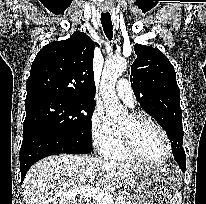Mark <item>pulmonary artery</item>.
Returning <instances> with one entry per match:
<instances>
[{
	"instance_id": "pulmonary-artery-1",
	"label": "pulmonary artery",
	"mask_w": 206,
	"mask_h": 204,
	"mask_svg": "<svg viewBox=\"0 0 206 204\" xmlns=\"http://www.w3.org/2000/svg\"><path fill=\"white\" fill-rule=\"evenodd\" d=\"M116 93L120 99L129 106H133V90L131 83L127 79H120L116 85Z\"/></svg>"
}]
</instances>
